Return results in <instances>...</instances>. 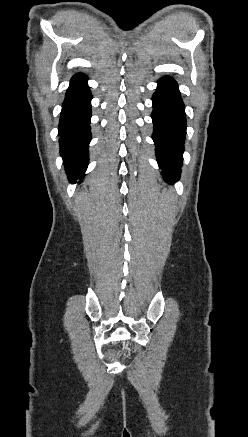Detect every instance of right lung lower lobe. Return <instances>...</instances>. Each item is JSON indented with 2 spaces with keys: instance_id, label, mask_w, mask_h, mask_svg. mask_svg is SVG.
Instances as JSON below:
<instances>
[{
  "instance_id": "right-lung-lower-lobe-1",
  "label": "right lung lower lobe",
  "mask_w": 248,
  "mask_h": 437,
  "mask_svg": "<svg viewBox=\"0 0 248 437\" xmlns=\"http://www.w3.org/2000/svg\"><path fill=\"white\" fill-rule=\"evenodd\" d=\"M87 80L81 73L72 77L59 122L60 151L72 183L83 177L88 165L92 96Z\"/></svg>"
}]
</instances>
